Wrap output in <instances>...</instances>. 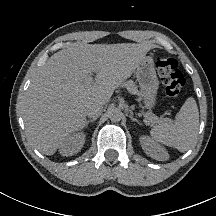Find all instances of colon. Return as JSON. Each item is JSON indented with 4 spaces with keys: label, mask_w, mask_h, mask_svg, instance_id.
I'll return each instance as SVG.
<instances>
[{
    "label": "colon",
    "mask_w": 216,
    "mask_h": 216,
    "mask_svg": "<svg viewBox=\"0 0 216 216\" xmlns=\"http://www.w3.org/2000/svg\"><path fill=\"white\" fill-rule=\"evenodd\" d=\"M177 68L178 63L172 57L163 56L156 59L158 76L165 85L166 94L169 97L178 96L186 84L185 78Z\"/></svg>",
    "instance_id": "obj_1"
}]
</instances>
